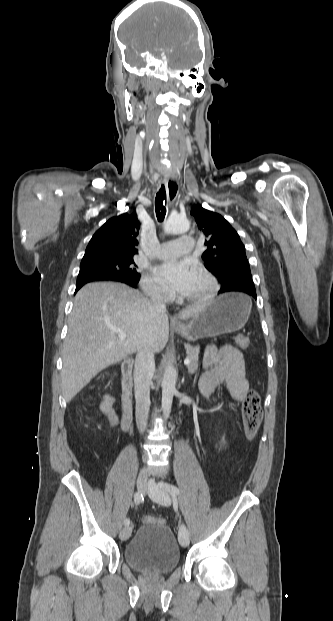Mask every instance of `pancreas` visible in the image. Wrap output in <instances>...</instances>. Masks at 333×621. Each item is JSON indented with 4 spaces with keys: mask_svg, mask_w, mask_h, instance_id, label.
Returning a JSON list of instances; mask_svg holds the SVG:
<instances>
[{
    "mask_svg": "<svg viewBox=\"0 0 333 621\" xmlns=\"http://www.w3.org/2000/svg\"><path fill=\"white\" fill-rule=\"evenodd\" d=\"M186 348V354L187 357L190 359V363L188 364V371L189 372H195L198 369V363H199V351H200V346H191L189 344L185 345Z\"/></svg>",
    "mask_w": 333,
    "mask_h": 621,
    "instance_id": "pancreas-1",
    "label": "pancreas"
}]
</instances>
